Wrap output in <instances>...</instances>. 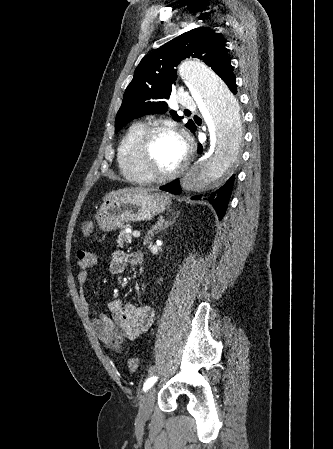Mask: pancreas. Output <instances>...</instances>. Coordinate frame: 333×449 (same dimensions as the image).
<instances>
[{
    "mask_svg": "<svg viewBox=\"0 0 333 449\" xmlns=\"http://www.w3.org/2000/svg\"><path fill=\"white\" fill-rule=\"evenodd\" d=\"M126 229H127V226L121 230V232L118 236L117 244L120 247H122L123 245H128L132 242V236L130 233L126 232Z\"/></svg>",
    "mask_w": 333,
    "mask_h": 449,
    "instance_id": "1",
    "label": "pancreas"
}]
</instances>
